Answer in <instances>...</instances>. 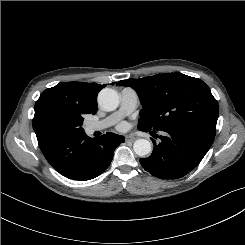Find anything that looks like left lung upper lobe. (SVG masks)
I'll use <instances>...</instances> for the list:
<instances>
[{
    "instance_id": "left-lung-upper-lobe-1",
    "label": "left lung upper lobe",
    "mask_w": 245,
    "mask_h": 245,
    "mask_svg": "<svg viewBox=\"0 0 245 245\" xmlns=\"http://www.w3.org/2000/svg\"><path fill=\"white\" fill-rule=\"evenodd\" d=\"M136 90L143 109L139 130L160 131L165 127L196 124L216 131L217 101L200 79L181 73H165L117 82Z\"/></svg>"
}]
</instances>
